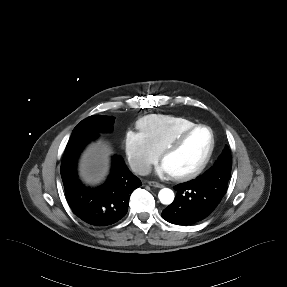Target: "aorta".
<instances>
[{"label": "aorta", "instance_id": "aorta-1", "mask_svg": "<svg viewBox=\"0 0 287 287\" xmlns=\"http://www.w3.org/2000/svg\"><path fill=\"white\" fill-rule=\"evenodd\" d=\"M174 192L169 188H163L158 193V198L162 204L169 205L174 200Z\"/></svg>", "mask_w": 287, "mask_h": 287}]
</instances>
